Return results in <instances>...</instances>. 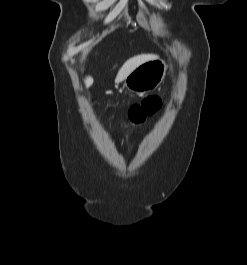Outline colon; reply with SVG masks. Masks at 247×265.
Wrapping results in <instances>:
<instances>
[{"label": "colon", "instance_id": "1", "mask_svg": "<svg viewBox=\"0 0 247 265\" xmlns=\"http://www.w3.org/2000/svg\"><path fill=\"white\" fill-rule=\"evenodd\" d=\"M161 107L159 97L151 96L144 99L141 103L133 105L128 112V122L138 124L145 122L154 115Z\"/></svg>", "mask_w": 247, "mask_h": 265}]
</instances>
